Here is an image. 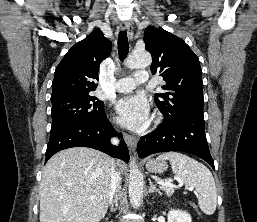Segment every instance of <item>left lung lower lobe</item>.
<instances>
[{
  "label": "left lung lower lobe",
  "mask_w": 257,
  "mask_h": 222,
  "mask_svg": "<svg viewBox=\"0 0 257 222\" xmlns=\"http://www.w3.org/2000/svg\"><path fill=\"white\" fill-rule=\"evenodd\" d=\"M137 148L140 158L158 152H187L204 159L215 169L202 117L188 116L176 120L164 118L156 130L140 138Z\"/></svg>",
  "instance_id": "1"
}]
</instances>
